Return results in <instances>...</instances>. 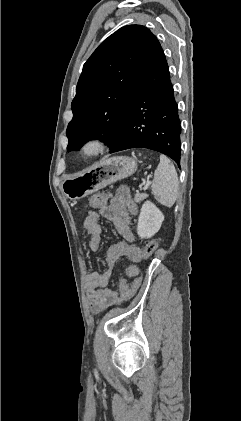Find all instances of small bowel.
I'll use <instances>...</instances> for the list:
<instances>
[{
  "instance_id": "1",
  "label": "small bowel",
  "mask_w": 241,
  "mask_h": 421,
  "mask_svg": "<svg viewBox=\"0 0 241 421\" xmlns=\"http://www.w3.org/2000/svg\"><path fill=\"white\" fill-rule=\"evenodd\" d=\"M136 211L137 205L131 197L130 189L127 186H120L108 205L99 207L98 211H91L84 220L83 228L89 236V247L93 251L99 249L102 240L100 218L110 220L126 240L116 242L108 248L104 272H92L87 275L86 293L91 311L95 314L124 300L108 288L116 262L123 257L132 261H139L142 257L141 249L132 243L135 236L131 230V215Z\"/></svg>"
}]
</instances>
